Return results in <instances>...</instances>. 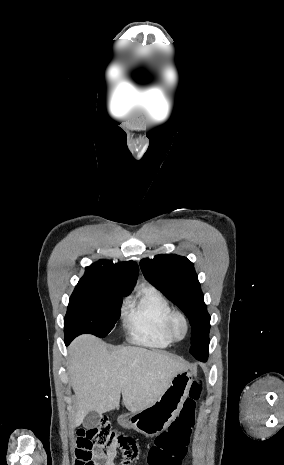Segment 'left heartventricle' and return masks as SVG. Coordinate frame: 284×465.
Segmentation results:
<instances>
[{
	"instance_id": "obj_1",
	"label": "left heart ventricle",
	"mask_w": 284,
	"mask_h": 465,
	"mask_svg": "<svg viewBox=\"0 0 284 465\" xmlns=\"http://www.w3.org/2000/svg\"><path fill=\"white\" fill-rule=\"evenodd\" d=\"M174 333L179 338H182L185 335V328L180 319H178L174 324Z\"/></svg>"
}]
</instances>
